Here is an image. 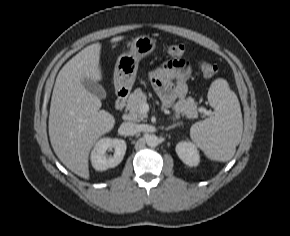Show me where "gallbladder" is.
Here are the masks:
<instances>
[{"label":"gallbladder","instance_id":"bac80fb5","mask_svg":"<svg viewBox=\"0 0 290 236\" xmlns=\"http://www.w3.org/2000/svg\"><path fill=\"white\" fill-rule=\"evenodd\" d=\"M82 84L89 92H91L98 98L103 99L106 97V91L99 83L89 79H85L84 81H82Z\"/></svg>","mask_w":290,"mask_h":236}]
</instances>
